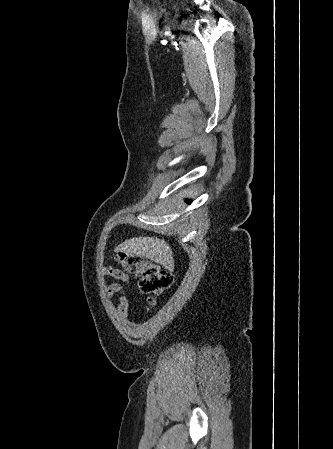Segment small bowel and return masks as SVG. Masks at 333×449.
<instances>
[{
  "label": "small bowel",
  "mask_w": 333,
  "mask_h": 449,
  "mask_svg": "<svg viewBox=\"0 0 333 449\" xmlns=\"http://www.w3.org/2000/svg\"><path fill=\"white\" fill-rule=\"evenodd\" d=\"M104 275L121 281L125 286L129 285L130 279L128 275L118 268L108 266L105 268ZM115 295L119 296L117 312L120 317L124 319L128 316V300L125 293V287L119 283H111L108 285L106 289L107 298L112 299Z\"/></svg>",
  "instance_id": "c3829d8e"
}]
</instances>
